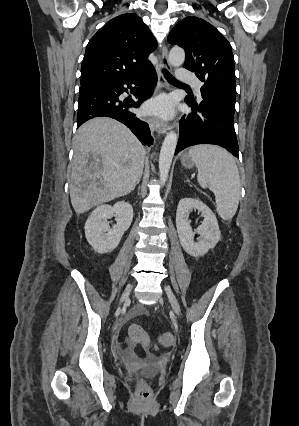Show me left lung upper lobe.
I'll list each match as a JSON object with an SVG mask.
<instances>
[{
  "label": "left lung upper lobe",
  "mask_w": 299,
  "mask_h": 426,
  "mask_svg": "<svg viewBox=\"0 0 299 426\" xmlns=\"http://www.w3.org/2000/svg\"><path fill=\"white\" fill-rule=\"evenodd\" d=\"M168 42L184 48V67L204 82L201 95L215 97L235 107L232 49L214 26L197 17H186L172 29Z\"/></svg>",
  "instance_id": "1"
}]
</instances>
